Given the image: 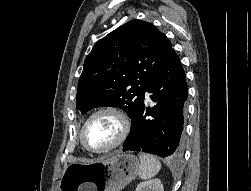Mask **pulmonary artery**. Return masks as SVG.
<instances>
[{"label": "pulmonary artery", "instance_id": "1", "mask_svg": "<svg viewBox=\"0 0 251 191\" xmlns=\"http://www.w3.org/2000/svg\"><path fill=\"white\" fill-rule=\"evenodd\" d=\"M146 98H148V94L146 93Z\"/></svg>", "mask_w": 251, "mask_h": 191}]
</instances>
